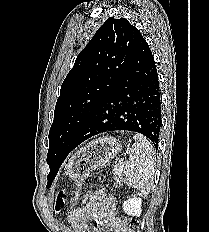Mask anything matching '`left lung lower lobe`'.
I'll return each instance as SVG.
<instances>
[{
    "instance_id": "0a47b994",
    "label": "left lung lower lobe",
    "mask_w": 209,
    "mask_h": 232,
    "mask_svg": "<svg viewBox=\"0 0 209 232\" xmlns=\"http://www.w3.org/2000/svg\"><path fill=\"white\" fill-rule=\"evenodd\" d=\"M161 102L155 61L146 40H138L134 55L118 84L77 135L73 149L102 132L133 131L158 147Z\"/></svg>"
}]
</instances>
